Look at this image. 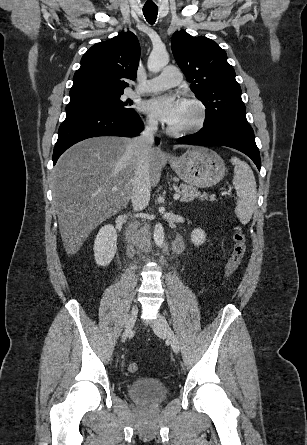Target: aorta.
I'll list each match as a JSON object with an SVG mask.
<instances>
[{
  "label": "aorta",
  "instance_id": "762f6f07",
  "mask_svg": "<svg viewBox=\"0 0 307 445\" xmlns=\"http://www.w3.org/2000/svg\"><path fill=\"white\" fill-rule=\"evenodd\" d=\"M169 62V54L165 46H157L151 50L148 60L147 68L151 72H160ZM164 241V229L161 223H157L154 227V243L157 247H162Z\"/></svg>",
  "mask_w": 307,
  "mask_h": 445
}]
</instances>
